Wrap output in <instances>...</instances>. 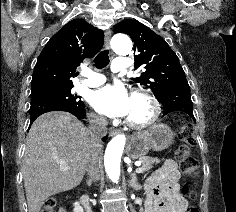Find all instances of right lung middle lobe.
Returning a JSON list of instances; mask_svg holds the SVG:
<instances>
[{"label":"right lung middle lobe","mask_w":236,"mask_h":212,"mask_svg":"<svg viewBox=\"0 0 236 212\" xmlns=\"http://www.w3.org/2000/svg\"><path fill=\"white\" fill-rule=\"evenodd\" d=\"M73 86L65 87H50L35 92H31V100L35 99H45L55 102H60L68 105L80 106L84 103L79 100V96L73 95L71 89Z\"/></svg>","instance_id":"1"}]
</instances>
